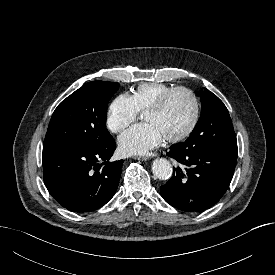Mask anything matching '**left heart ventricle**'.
I'll return each mask as SVG.
<instances>
[{"mask_svg": "<svg viewBox=\"0 0 275 275\" xmlns=\"http://www.w3.org/2000/svg\"><path fill=\"white\" fill-rule=\"evenodd\" d=\"M193 115V103L185 92H177L170 97L166 105L158 111H148L144 119L155 124L164 137L184 131Z\"/></svg>", "mask_w": 275, "mask_h": 275, "instance_id": "b2bd125f", "label": "left heart ventricle"}]
</instances>
